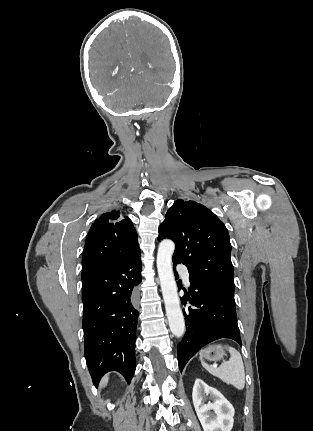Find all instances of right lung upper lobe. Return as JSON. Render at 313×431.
<instances>
[{"mask_svg": "<svg viewBox=\"0 0 313 431\" xmlns=\"http://www.w3.org/2000/svg\"><path fill=\"white\" fill-rule=\"evenodd\" d=\"M140 252L131 220L119 210L103 214L91 226L86 238L82 268L114 263Z\"/></svg>", "mask_w": 313, "mask_h": 431, "instance_id": "right-lung-upper-lobe-1", "label": "right lung upper lobe"}]
</instances>
